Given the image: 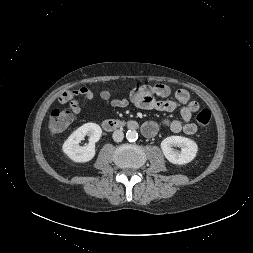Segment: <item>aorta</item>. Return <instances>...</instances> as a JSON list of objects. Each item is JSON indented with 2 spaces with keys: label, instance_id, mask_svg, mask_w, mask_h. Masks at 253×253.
I'll list each match as a JSON object with an SVG mask.
<instances>
[{
  "label": "aorta",
  "instance_id": "762f6f07",
  "mask_svg": "<svg viewBox=\"0 0 253 253\" xmlns=\"http://www.w3.org/2000/svg\"><path fill=\"white\" fill-rule=\"evenodd\" d=\"M126 138L130 142H134L138 139V133L135 130H128L126 133Z\"/></svg>",
  "mask_w": 253,
  "mask_h": 253
}]
</instances>
